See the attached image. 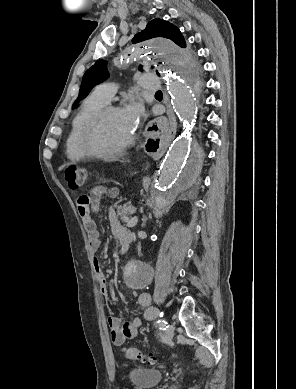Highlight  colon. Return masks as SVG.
Instances as JSON below:
<instances>
[{"mask_svg": "<svg viewBox=\"0 0 296 389\" xmlns=\"http://www.w3.org/2000/svg\"><path fill=\"white\" fill-rule=\"evenodd\" d=\"M64 176L69 187L73 190H78L83 188L86 184L89 172L85 167L70 166L65 170ZM123 352L127 358L132 360L147 361L149 363H154L156 360L155 357L145 355L139 349L134 347H125Z\"/></svg>", "mask_w": 296, "mask_h": 389, "instance_id": "colon-1", "label": "colon"}]
</instances>
